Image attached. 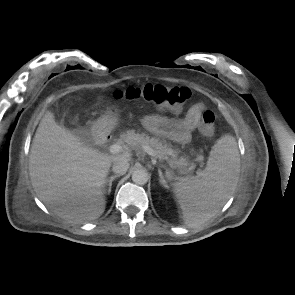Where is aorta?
I'll return each mask as SVG.
<instances>
[{"mask_svg": "<svg viewBox=\"0 0 295 295\" xmlns=\"http://www.w3.org/2000/svg\"><path fill=\"white\" fill-rule=\"evenodd\" d=\"M132 180L135 184L144 185L148 181V172L143 168L137 169L132 174Z\"/></svg>", "mask_w": 295, "mask_h": 295, "instance_id": "1", "label": "aorta"}]
</instances>
